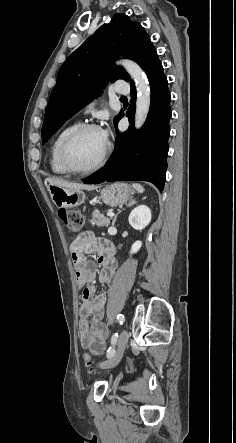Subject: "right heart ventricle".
<instances>
[{
  "mask_svg": "<svg viewBox=\"0 0 236 443\" xmlns=\"http://www.w3.org/2000/svg\"><path fill=\"white\" fill-rule=\"evenodd\" d=\"M78 126L77 123L70 124L66 127H64L53 139L50 149V157H49V164L51 167V170L60 175L68 174V172L65 170V168L62 166L59 158V151L61 144L63 140L66 138V136L73 131Z\"/></svg>",
  "mask_w": 236,
  "mask_h": 443,
  "instance_id": "obj_1",
  "label": "right heart ventricle"
}]
</instances>
